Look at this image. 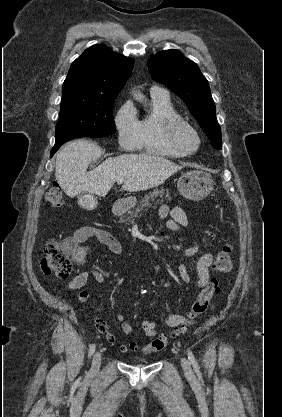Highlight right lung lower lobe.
<instances>
[{"label": "right lung lower lobe", "instance_id": "98d812e1", "mask_svg": "<svg viewBox=\"0 0 282 417\" xmlns=\"http://www.w3.org/2000/svg\"><path fill=\"white\" fill-rule=\"evenodd\" d=\"M74 138H78V137H68V138H64V139H61V140H58V141H56L55 142V145H54V147H53V149H52V151H51V157L53 156V154L58 150V148L62 145V144H64L65 142H67V141H69V140H71V139H74Z\"/></svg>", "mask_w": 282, "mask_h": 417}]
</instances>
